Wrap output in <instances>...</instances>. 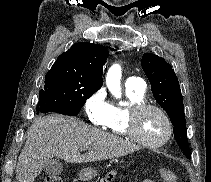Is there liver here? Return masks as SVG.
Listing matches in <instances>:
<instances>
[{
	"instance_id": "6515ba94",
	"label": "liver",
	"mask_w": 211,
	"mask_h": 182,
	"mask_svg": "<svg viewBox=\"0 0 211 182\" xmlns=\"http://www.w3.org/2000/svg\"><path fill=\"white\" fill-rule=\"evenodd\" d=\"M91 147L81 154L80 150ZM139 147L74 117L50 114L36 120L28 131L16 168L18 182H34L53 157L69 163H87L130 154Z\"/></svg>"
}]
</instances>
